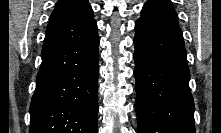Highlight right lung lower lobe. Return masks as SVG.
Masks as SVG:
<instances>
[{
  "label": "right lung lower lobe",
  "instance_id": "obj_1",
  "mask_svg": "<svg viewBox=\"0 0 221 133\" xmlns=\"http://www.w3.org/2000/svg\"><path fill=\"white\" fill-rule=\"evenodd\" d=\"M98 44L43 47L29 133H97Z\"/></svg>",
  "mask_w": 221,
  "mask_h": 133
}]
</instances>
